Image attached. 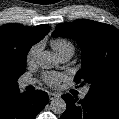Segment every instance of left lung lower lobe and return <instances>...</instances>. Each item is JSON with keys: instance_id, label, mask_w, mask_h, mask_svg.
<instances>
[{"instance_id": "1", "label": "left lung lower lobe", "mask_w": 119, "mask_h": 119, "mask_svg": "<svg viewBox=\"0 0 119 119\" xmlns=\"http://www.w3.org/2000/svg\"><path fill=\"white\" fill-rule=\"evenodd\" d=\"M67 104L61 119H119V96L88 92L83 100L62 95Z\"/></svg>"}]
</instances>
